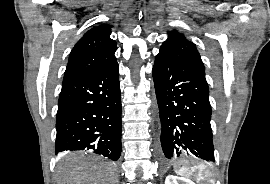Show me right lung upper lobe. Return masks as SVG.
I'll return each mask as SVG.
<instances>
[{
	"mask_svg": "<svg viewBox=\"0 0 270 184\" xmlns=\"http://www.w3.org/2000/svg\"><path fill=\"white\" fill-rule=\"evenodd\" d=\"M110 33L109 26L100 25L84 34L70 53L64 80L117 63L116 41L110 38Z\"/></svg>",
	"mask_w": 270,
	"mask_h": 184,
	"instance_id": "1",
	"label": "right lung upper lobe"
}]
</instances>
